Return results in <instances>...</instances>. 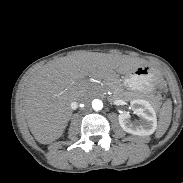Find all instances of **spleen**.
<instances>
[{
	"instance_id": "3e777b00",
	"label": "spleen",
	"mask_w": 183,
	"mask_h": 183,
	"mask_svg": "<svg viewBox=\"0 0 183 183\" xmlns=\"http://www.w3.org/2000/svg\"><path fill=\"white\" fill-rule=\"evenodd\" d=\"M171 116H172V104L171 101L168 100L167 102L164 103V105L160 110L159 124L156 132V138H160L165 134L170 125Z\"/></svg>"
}]
</instances>
